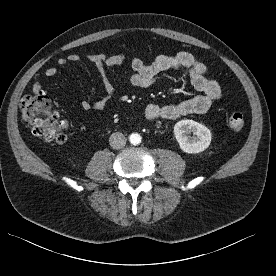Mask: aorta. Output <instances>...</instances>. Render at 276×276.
<instances>
[{
	"mask_svg": "<svg viewBox=\"0 0 276 276\" xmlns=\"http://www.w3.org/2000/svg\"><path fill=\"white\" fill-rule=\"evenodd\" d=\"M141 139L142 138L138 133H133L129 137V140H130L131 144H133V145L139 144L141 142Z\"/></svg>",
	"mask_w": 276,
	"mask_h": 276,
	"instance_id": "762f6f07",
	"label": "aorta"
}]
</instances>
